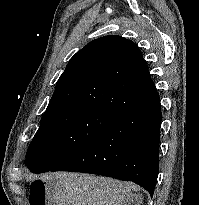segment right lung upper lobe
<instances>
[{"mask_svg":"<svg viewBox=\"0 0 199 205\" xmlns=\"http://www.w3.org/2000/svg\"><path fill=\"white\" fill-rule=\"evenodd\" d=\"M151 80L136 44L117 35L101 37L70 59L46 112L93 107L121 118L143 102L129 85Z\"/></svg>","mask_w":199,"mask_h":205,"instance_id":"obj_1","label":"right lung upper lobe"}]
</instances>
